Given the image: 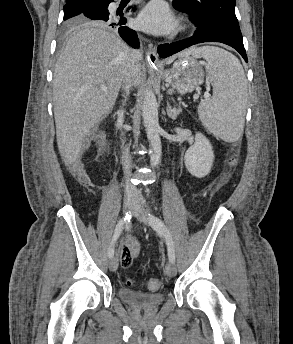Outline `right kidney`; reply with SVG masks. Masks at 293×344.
<instances>
[{"label":"right kidney","mask_w":293,"mask_h":344,"mask_svg":"<svg viewBox=\"0 0 293 344\" xmlns=\"http://www.w3.org/2000/svg\"><path fill=\"white\" fill-rule=\"evenodd\" d=\"M100 138H101L100 146H104V145H105V142H104L105 134H104L103 132H102V134L100 135Z\"/></svg>","instance_id":"right-kidney-1"}]
</instances>
